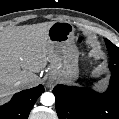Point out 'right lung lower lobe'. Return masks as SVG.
<instances>
[{
  "instance_id": "1",
  "label": "right lung lower lobe",
  "mask_w": 119,
  "mask_h": 119,
  "mask_svg": "<svg viewBox=\"0 0 119 119\" xmlns=\"http://www.w3.org/2000/svg\"><path fill=\"white\" fill-rule=\"evenodd\" d=\"M44 92V87L23 90L16 93L10 102L0 106V119H27L38 97Z\"/></svg>"
}]
</instances>
